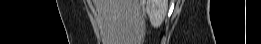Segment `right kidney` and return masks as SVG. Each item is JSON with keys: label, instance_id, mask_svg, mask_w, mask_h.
Segmentation results:
<instances>
[{"label": "right kidney", "instance_id": "right-kidney-1", "mask_svg": "<svg viewBox=\"0 0 261 44\" xmlns=\"http://www.w3.org/2000/svg\"><path fill=\"white\" fill-rule=\"evenodd\" d=\"M168 10V0H147L146 12L153 27H159Z\"/></svg>", "mask_w": 261, "mask_h": 44}]
</instances>
